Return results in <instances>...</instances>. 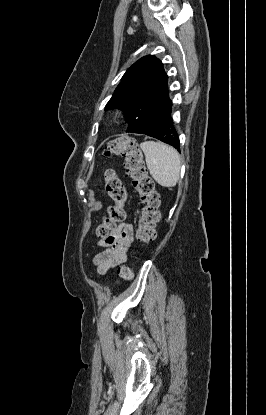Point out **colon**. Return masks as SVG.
I'll return each mask as SVG.
<instances>
[{
	"label": "colon",
	"instance_id": "obj_1",
	"mask_svg": "<svg viewBox=\"0 0 266 415\" xmlns=\"http://www.w3.org/2000/svg\"><path fill=\"white\" fill-rule=\"evenodd\" d=\"M107 157H123L127 176L131 179L132 186L139 195L142 208L138 217L136 237L144 245L151 244L156 237V226L160 220V198L155 190L154 182L147 173L143 154L137 141L131 137H120L108 143L105 150ZM105 190L113 200L114 205L108 209V215L97 227V235L105 238L117 226L126 219L124 208L127 191L113 170H107L104 176ZM119 276L129 280L133 276L130 267L123 266L119 269Z\"/></svg>",
	"mask_w": 266,
	"mask_h": 415
}]
</instances>
